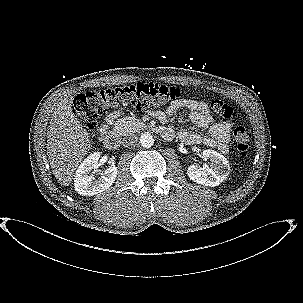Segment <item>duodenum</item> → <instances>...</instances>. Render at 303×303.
Instances as JSON below:
<instances>
[{"instance_id":"1","label":"duodenum","mask_w":303,"mask_h":303,"mask_svg":"<svg viewBox=\"0 0 303 303\" xmlns=\"http://www.w3.org/2000/svg\"><path fill=\"white\" fill-rule=\"evenodd\" d=\"M166 137V136H165ZM103 142L108 149H117L120 145V138L114 132H109L103 138Z\"/></svg>"}]
</instances>
